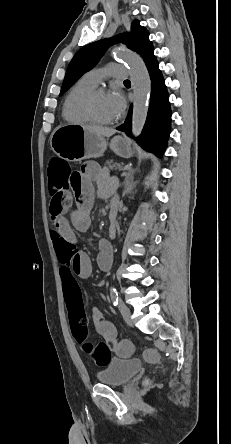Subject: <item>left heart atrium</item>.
I'll use <instances>...</instances> for the list:
<instances>
[{"instance_id":"left-heart-atrium-1","label":"left heart atrium","mask_w":231,"mask_h":444,"mask_svg":"<svg viewBox=\"0 0 231 444\" xmlns=\"http://www.w3.org/2000/svg\"><path fill=\"white\" fill-rule=\"evenodd\" d=\"M108 99L116 116L121 114L125 107V101L122 94L118 91L111 92L108 94Z\"/></svg>"}]
</instances>
